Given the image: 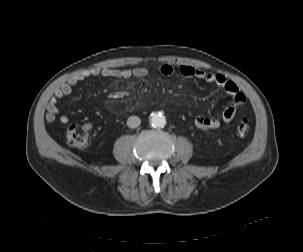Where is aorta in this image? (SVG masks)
Masks as SVG:
<instances>
[{"instance_id":"obj_1","label":"aorta","mask_w":303,"mask_h":252,"mask_svg":"<svg viewBox=\"0 0 303 252\" xmlns=\"http://www.w3.org/2000/svg\"><path fill=\"white\" fill-rule=\"evenodd\" d=\"M149 121L150 124L155 128H161L166 125V118L161 113H152Z\"/></svg>"}]
</instances>
